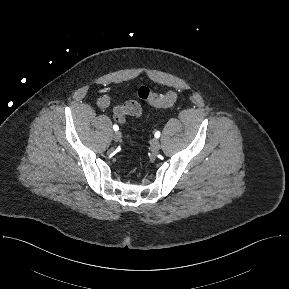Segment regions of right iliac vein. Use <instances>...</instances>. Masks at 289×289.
Wrapping results in <instances>:
<instances>
[{
    "instance_id": "obj_1",
    "label": "right iliac vein",
    "mask_w": 289,
    "mask_h": 289,
    "mask_svg": "<svg viewBox=\"0 0 289 289\" xmlns=\"http://www.w3.org/2000/svg\"><path fill=\"white\" fill-rule=\"evenodd\" d=\"M121 137H122V135H121V132H120V131H115V132L113 133V139H114L115 141H120Z\"/></svg>"
}]
</instances>
